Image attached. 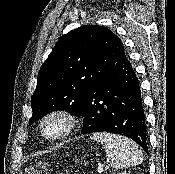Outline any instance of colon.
Returning a JSON list of instances; mask_svg holds the SVG:
<instances>
[{"instance_id": "5ec220e1", "label": "colon", "mask_w": 175, "mask_h": 174, "mask_svg": "<svg viewBox=\"0 0 175 174\" xmlns=\"http://www.w3.org/2000/svg\"><path fill=\"white\" fill-rule=\"evenodd\" d=\"M47 171V164L41 163L37 166H30L26 169L25 174H43Z\"/></svg>"}]
</instances>
